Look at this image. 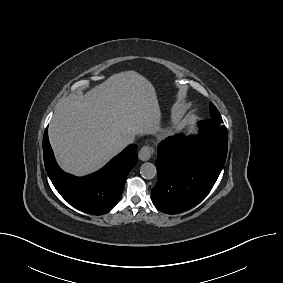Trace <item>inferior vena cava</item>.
Returning a JSON list of instances; mask_svg holds the SVG:
<instances>
[{
    "label": "inferior vena cava",
    "instance_id": "inferior-vena-cava-1",
    "mask_svg": "<svg viewBox=\"0 0 283 283\" xmlns=\"http://www.w3.org/2000/svg\"><path fill=\"white\" fill-rule=\"evenodd\" d=\"M133 141H134V135L125 134L120 138L119 143L122 147H125V146L133 143Z\"/></svg>",
    "mask_w": 283,
    "mask_h": 283
}]
</instances>
